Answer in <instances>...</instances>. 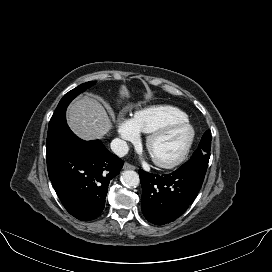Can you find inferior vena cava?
<instances>
[{
  "mask_svg": "<svg viewBox=\"0 0 272 272\" xmlns=\"http://www.w3.org/2000/svg\"><path fill=\"white\" fill-rule=\"evenodd\" d=\"M110 147L113 153L119 157L125 156L129 151L127 143L119 138L112 140Z\"/></svg>",
  "mask_w": 272,
  "mask_h": 272,
  "instance_id": "1",
  "label": "inferior vena cava"
}]
</instances>
